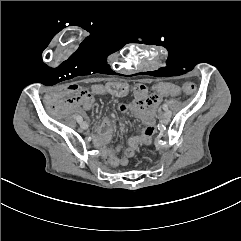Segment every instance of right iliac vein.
<instances>
[{"instance_id":"1","label":"right iliac vein","mask_w":241,"mask_h":241,"mask_svg":"<svg viewBox=\"0 0 241 241\" xmlns=\"http://www.w3.org/2000/svg\"><path fill=\"white\" fill-rule=\"evenodd\" d=\"M80 127H81L82 129H87V128H88L87 122L82 121V122L80 123Z\"/></svg>"}]
</instances>
